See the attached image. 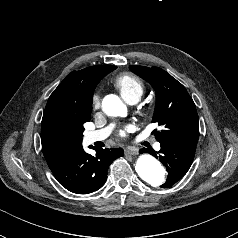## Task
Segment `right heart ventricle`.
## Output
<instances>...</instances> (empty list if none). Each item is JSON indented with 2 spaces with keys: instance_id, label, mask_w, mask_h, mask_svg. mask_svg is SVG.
<instances>
[{
  "instance_id": "obj_1",
  "label": "right heart ventricle",
  "mask_w": 238,
  "mask_h": 238,
  "mask_svg": "<svg viewBox=\"0 0 238 238\" xmlns=\"http://www.w3.org/2000/svg\"><path fill=\"white\" fill-rule=\"evenodd\" d=\"M114 85L117 87L125 100L131 98H136L139 100L145 90L142 80L128 73L116 76L114 78Z\"/></svg>"
}]
</instances>
